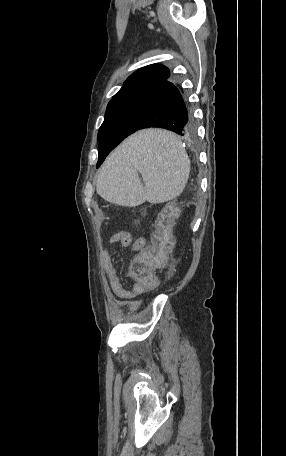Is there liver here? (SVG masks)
<instances>
[{
	"label": "liver",
	"mask_w": 286,
	"mask_h": 456,
	"mask_svg": "<svg viewBox=\"0 0 286 456\" xmlns=\"http://www.w3.org/2000/svg\"><path fill=\"white\" fill-rule=\"evenodd\" d=\"M189 173L190 161L176 134L144 129L125 139L107 158L96 191L104 200L120 206L163 203L183 192Z\"/></svg>",
	"instance_id": "6515ba94"
}]
</instances>
